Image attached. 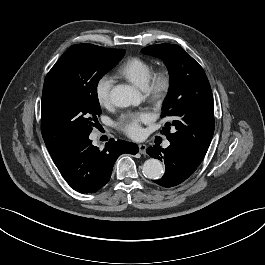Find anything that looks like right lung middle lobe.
I'll return each instance as SVG.
<instances>
[{"label":"right lung middle lobe","mask_w":265,"mask_h":265,"mask_svg":"<svg viewBox=\"0 0 265 265\" xmlns=\"http://www.w3.org/2000/svg\"><path fill=\"white\" fill-rule=\"evenodd\" d=\"M124 54V49L77 44L49 71L43 86L41 131L50 154L89 136L101 114L98 82Z\"/></svg>","instance_id":"1"}]
</instances>
